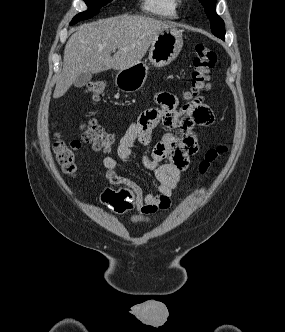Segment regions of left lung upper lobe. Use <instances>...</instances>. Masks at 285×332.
I'll return each mask as SVG.
<instances>
[{"mask_svg":"<svg viewBox=\"0 0 285 332\" xmlns=\"http://www.w3.org/2000/svg\"><path fill=\"white\" fill-rule=\"evenodd\" d=\"M205 8V13L210 19L212 33L224 40V21L216 14V0H199Z\"/></svg>","mask_w":285,"mask_h":332,"instance_id":"left-lung-upper-lobe-1","label":"left lung upper lobe"}]
</instances>
